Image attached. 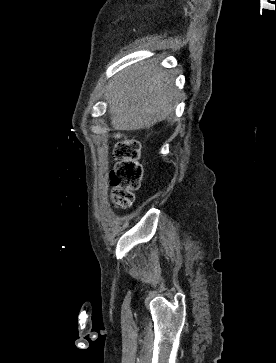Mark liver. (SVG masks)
Here are the masks:
<instances>
[{
	"instance_id": "obj_1",
	"label": "liver",
	"mask_w": 276,
	"mask_h": 363,
	"mask_svg": "<svg viewBox=\"0 0 276 363\" xmlns=\"http://www.w3.org/2000/svg\"><path fill=\"white\" fill-rule=\"evenodd\" d=\"M178 94L173 76L150 61L125 69L108 92L111 124L120 131L149 128L173 115Z\"/></svg>"
}]
</instances>
